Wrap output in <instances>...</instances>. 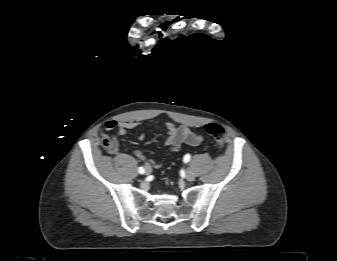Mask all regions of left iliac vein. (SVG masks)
Here are the masks:
<instances>
[{"instance_id": "left-iliac-vein-1", "label": "left iliac vein", "mask_w": 337, "mask_h": 261, "mask_svg": "<svg viewBox=\"0 0 337 261\" xmlns=\"http://www.w3.org/2000/svg\"><path fill=\"white\" fill-rule=\"evenodd\" d=\"M186 179L188 181H193L195 179V173L191 168L186 170Z\"/></svg>"}]
</instances>
